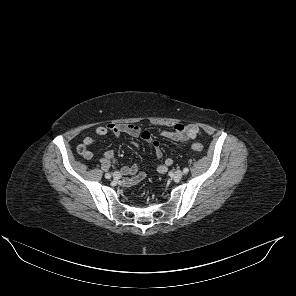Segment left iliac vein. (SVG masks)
Masks as SVG:
<instances>
[{"mask_svg": "<svg viewBox=\"0 0 296 296\" xmlns=\"http://www.w3.org/2000/svg\"><path fill=\"white\" fill-rule=\"evenodd\" d=\"M182 176H183V172L181 170H177L173 174V178L175 180H180L182 178Z\"/></svg>", "mask_w": 296, "mask_h": 296, "instance_id": "left-iliac-vein-1", "label": "left iliac vein"}]
</instances>
